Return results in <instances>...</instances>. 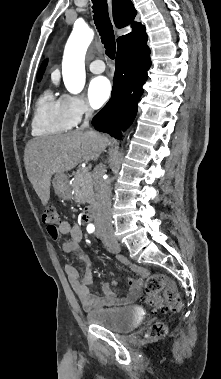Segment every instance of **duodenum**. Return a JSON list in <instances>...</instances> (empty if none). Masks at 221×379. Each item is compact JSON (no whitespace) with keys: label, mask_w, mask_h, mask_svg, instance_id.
Wrapping results in <instances>:
<instances>
[{"label":"duodenum","mask_w":221,"mask_h":379,"mask_svg":"<svg viewBox=\"0 0 221 379\" xmlns=\"http://www.w3.org/2000/svg\"><path fill=\"white\" fill-rule=\"evenodd\" d=\"M96 216H97V205L91 204L86 208L83 219L85 222L90 223L95 220Z\"/></svg>","instance_id":"410a0bca"}]
</instances>
